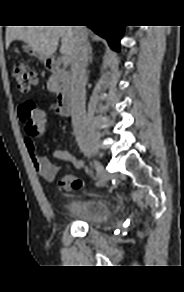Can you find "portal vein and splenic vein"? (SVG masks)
I'll use <instances>...</instances> for the list:
<instances>
[{"instance_id": "obj_1", "label": "portal vein and splenic vein", "mask_w": 184, "mask_h": 292, "mask_svg": "<svg viewBox=\"0 0 184 292\" xmlns=\"http://www.w3.org/2000/svg\"><path fill=\"white\" fill-rule=\"evenodd\" d=\"M61 61H62V63L64 65H67L68 62H69V59H68V57L66 55L63 54L62 57H61Z\"/></svg>"}]
</instances>
